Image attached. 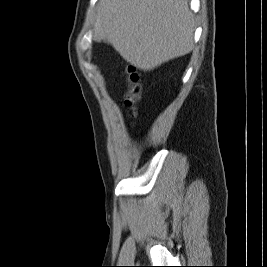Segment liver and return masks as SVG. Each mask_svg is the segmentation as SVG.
Here are the masks:
<instances>
[{
	"instance_id": "liver-1",
	"label": "liver",
	"mask_w": 267,
	"mask_h": 267,
	"mask_svg": "<svg viewBox=\"0 0 267 267\" xmlns=\"http://www.w3.org/2000/svg\"><path fill=\"white\" fill-rule=\"evenodd\" d=\"M194 26L188 0H100L93 38L150 71L192 51Z\"/></svg>"
}]
</instances>
